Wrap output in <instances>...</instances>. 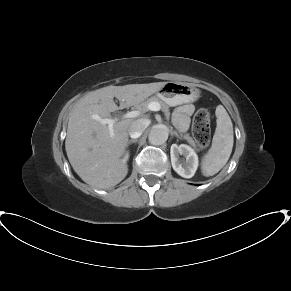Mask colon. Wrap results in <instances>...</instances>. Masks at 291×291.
<instances>
[{
	"label": "colon",
	"instance_id": "5ec220e1",
	"mask_svg": "<svg viewBox=\"0 0 291 291\" xmlns=\"http://www.w3.org/2000/svg\"><path fill=\"white\" fill-rule=\"evenodd\" d=\"M211 113L208 109L199 110L193 119L192 133L201 147H206L210 140Z\"/></svg>",
	"mask_w": 291,
	"mask_h": 291
}]
</instances>
